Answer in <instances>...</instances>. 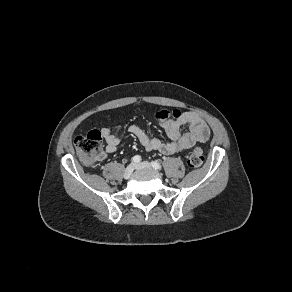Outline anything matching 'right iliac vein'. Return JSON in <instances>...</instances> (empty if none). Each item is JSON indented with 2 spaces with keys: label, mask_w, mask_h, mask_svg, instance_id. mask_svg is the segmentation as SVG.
Masks as SVG:
<instances>
[{
  "label": "right iliac vein",
  "mask_w": 292,
  "mask_h": 292,
  "mask_svg": "<svg viewBox=\"0 0 292 292\" xmlns=\"http://www.w3.org/2000/svg\"><path fill=\"white\" fill-rule=\"evenodd\" d=\"M134 170V165L133 164H129L126 169L124 170L123 176L124 178H129L131 176V174L133 173Z\"/></svg>",
  "instance_id": "63e3f726"
}]
</instances>
